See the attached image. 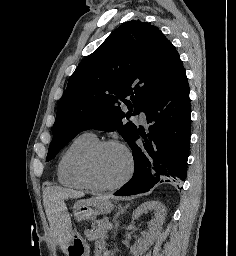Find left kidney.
Returning <instances> with one entry per match:
<instances>
[{
    "instance_id": "1",
    "label": "left kidney",
    "mask_w": 236,
    "mask_h": 256,
    "mask_svg": "<svg viewBox=\"0 0 236 256\" xmlns=\"http://www.w3.org/2000/svg\"><path fill=\"white\" fill-rule=\"evenodd\" d=\"M148 210H154L155 220H151L148 224L149 234L145 238H140L135 242L134 246H131L130 252L132 256H142L144 252L149 250L150 246L154 244L155 238H158L161 234L163 222L165 220L166 208L158 202V200H152V202H144L141 206H138L137 210L133 212V218L137 220L141 214H147Z\"/></svg>"
}]
</instances>
